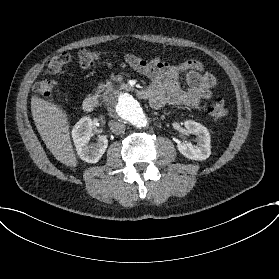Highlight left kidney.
<instances>
[{
	"label": "left kidney",
	"mask_w": 279,
	"mask_h": 279,
	"mask_svg": "<svg viewBox=\"0 0 279 279\" xmlns=\"http://www.w3.org/2000/svg\"><path fill=\"white\" fill-rule=\"evenodd\" d=\"M184 126L188 133L196 136L197 144L179 142L177 148L186 158L202 161L211 155V137L208 129L194 120H186Z\"/></svg>",
	"instance_id": "1"
}]
</instances>
